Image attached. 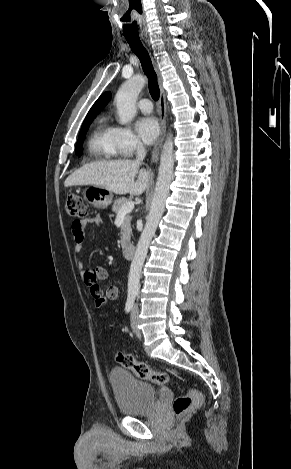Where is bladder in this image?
<instances>
[{"mask_svg": "<svg viewBox=\"0 0 291 469\" xmlns=\"http://www.w3.org/2000/svg\"><path fill=\"white\" fill-rule=\"evenodd\" d=\"M109 379L121 415L134 417L152 410L157 397L152 385L122 368L112 369Z\"/></svg>", "mask_w": 291, "mask_h": 469, "instance_id": "bladder-1", "label": "bladder"}]
</instances>
